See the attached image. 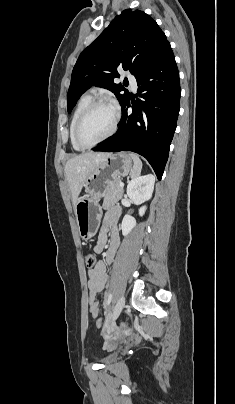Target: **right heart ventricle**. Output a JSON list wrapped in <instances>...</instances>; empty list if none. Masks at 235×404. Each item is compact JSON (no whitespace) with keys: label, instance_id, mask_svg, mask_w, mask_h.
Listing matches in <instances>:
<instances>
[{"label":"right heart ventricle","instance_id":"right-heart-ventricle-1","mask_svg":"<svg viewBox=\"0 0 235 404\" xmlns=\"http://www.w3.org/2000/svg\"><path fill=\"white\" fill-rule=\"evenodd\" d=\"M92 101V96L90 94H84L78 101L71 120H70V125H69V138H70V142L72 147L77 150V151H82L84 150L82 147H80L74 138V130H75V125L77 122V119L79 117V115L81 114V112L84 110V108Z\"/></svg>","mask_w":235,"mask_h":404}]
</instances>
